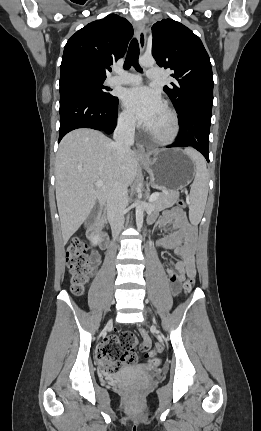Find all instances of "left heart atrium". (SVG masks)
Wrapping results in <instances>:
<instances>
[{"label":"left heart atrium","instance_id":"39dd6f15","mask_svg":"<svg viewBox=\"0 0 261 431\" xmlns=\"http://www.w3.org/2000/svg\"><path fill=\"white\" fill-rule=\"evenodd\" d=\"M123 104L133 118L146 128H150L165 105L160 94L147 86H136L123 94Z\"/></svg>","mask_w":261,"mask_h":431}]
</instances>
